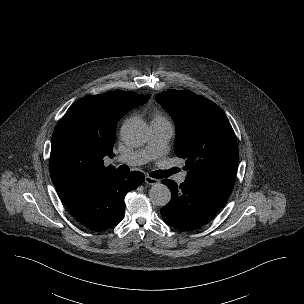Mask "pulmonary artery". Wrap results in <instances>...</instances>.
<instances>
[{"label": "pulmonary artery", "instance_id": "pulmonary-artery-1", "mask_svg": "<svg viewBox=\"0 0 304 304\" xmlns=\"http://www.w3.org/2000/svg\"><path fill=\"white\" fill-rule=\"evenodd\" d=\"M172 135L173 127L169 122L152 121L150 123V136L146 146L118 156L116 162L129 166H138L154 160L163 153ZM186 176V172H181L176 178L177 182L179 184L184 183Z\"/></svg>", "mask_w": 304, "mask_h": 304}]
</instances>
